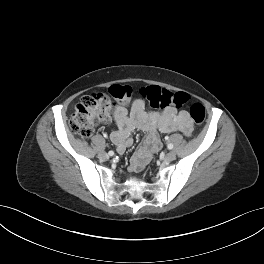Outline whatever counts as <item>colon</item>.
Returning a JSON list of instances; mask_svg holds the SVG:
<instances>
[{"label":"colon","mask_w":264,"mask_h":264,"mask_svg":"<svg viewBox=\"0 0 264 264\" xmlns=\"http://www.w3.org/2000/svg\"><path fill=\"white\" fill-rule=\"evenodd\" d=\"M131 94L130 86L115 85L108 92H97L81 97L70 117V129L81 138L89 137L98 126L110 119L113 100L125 102ZM140 95L152 107L158 109L180 108L189 101L188 94L184 92H172L154 85L141 87ZM189 115L194 123L201 125L206 116L205 107L199 102H193L189 106Z\"/></svg>","instance_id":"5ec220e1"}]
</instances>
